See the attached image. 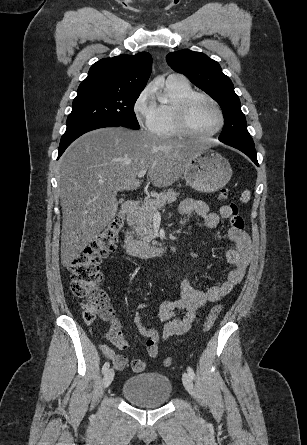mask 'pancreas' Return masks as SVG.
I'll return each mask as SVG.
<instances>
[{"instance_id": "obj_1", "label": "pancreas", "mask_w": 307, "mask_h": 445, "mask_svg": "<svg viewBox=\"0 0 307 445\" xmlns=\"http://www.w3.org/2000/svg\"><path fill=\"white\" fill-rule=\"evenodd\" d=\"M179 194L180 192H176L174 188H167L165 192H159L155 198L145 200L142 206L136 208L135 214L137 218L133 229H135L137 235H139V239H141L143 243H150V241L155 239L152 225V218L155 212L160 210L162 206H165L167 202H175Z\"/></svg>"}]
</instances>
